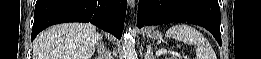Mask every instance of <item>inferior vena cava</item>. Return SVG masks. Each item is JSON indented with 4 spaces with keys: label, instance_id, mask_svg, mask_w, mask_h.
Masks as SVG:
<instances>
[{
    "label": "inferior vena cava",
    "instance_id": "1",
    "mask_svg": "<svg viewBox=\"0 0 261 59\" xmlns=\"http://www.w3.org/2000/svg\"><path fill=\"white\" fill-rule=\"evenodd\" d=\"M96 39L97 41L101 40V36L99 34H96ZM102 54L104 56L103 58L111 59V54L104 48V46H103Z\"/></svg>",
    "mask_w": 261,
    "mask_h": 59
}]
</instances>
